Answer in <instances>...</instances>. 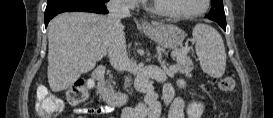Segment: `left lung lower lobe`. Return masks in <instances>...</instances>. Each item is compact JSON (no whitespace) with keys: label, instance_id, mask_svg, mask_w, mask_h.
<instances>
[{"label":"left lung lower lobe","instance_id":"obj_1","mask_svg":"<svg viewBox=\"0 0 273 118\" xmlns=\"http://www.w3.org/2000/svg\"><path fill=\"white\" fill-rule=\"evenodd\" d=\"M219 25H220L224 30H226V23H219Z\"/></svg>","mask_w":273,"mask_h":118}]
</instances>
